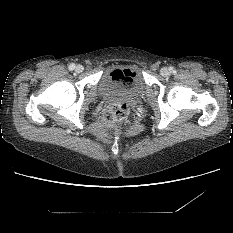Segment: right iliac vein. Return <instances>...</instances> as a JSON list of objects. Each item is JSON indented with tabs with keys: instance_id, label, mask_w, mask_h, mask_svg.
I'll return each mask as SVG.
<instances>
[{
	"instance_id": "1",
	"label": "right iliac vein",
	"mask_w": 233,
	"mask_h": 233,
	"mask_svg": "<svg viewBox=\"0 0 233 233\" xmlns=\"http://www.w3.org/2000/svg\"><path fill=\"white\" fill-rule=\"evenodd\" d=\"M83 66L82 65H77L76 66V68H75V71L77 72V73H80V72H82L83 71Z\"/></svg>"
}]
</instances>
